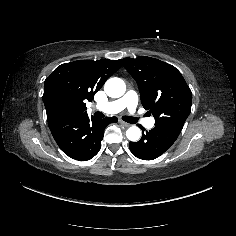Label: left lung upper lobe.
<instances>
[{
    "mask_svg": "<svg viewBox=\"0 0 236 236\" xmlns=\"http://www.w3.org/2000/svg\"><path fill=\"white\" fill-rule=\"evenodd\" d=\"M124 67L138 84L142 105L155 124L183 128L190 114L192 93L181 73L155 58H124Z\"/></svg>",
    "mask_w": 236,
    "mask_h": 236,
    "instance_id": "obj_1",
    "label": "left lung upper lobe"
}]
</instances>
